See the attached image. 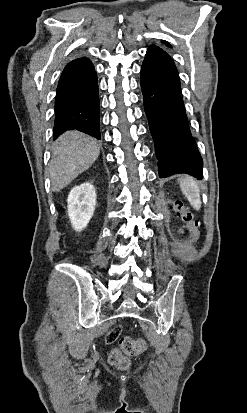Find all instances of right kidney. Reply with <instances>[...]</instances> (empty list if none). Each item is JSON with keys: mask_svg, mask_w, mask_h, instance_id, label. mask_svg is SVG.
Listing matches in <instances>:
<instances>
[{"mask_svg": "<svg viewBox=\"0 0 247 413\" xmlns=\"http://www.w3.org/2000/svg\"><path fill=\"white\" fill-rule=\"evenodd\" d=\"M68 217L74 231H83L93 217L96 204V190L91 182H83L71 188L68 198Z\"/></svg>", "mask_w": 247, "mask_h": 413, "instance_id": "right-kidney-1", "label": "right kidney"}]
</instances>
